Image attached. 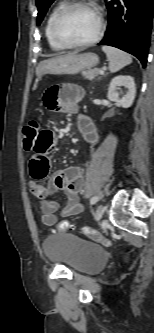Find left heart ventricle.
Wrapping results in <instances>:
<instances>
[{
  "label": "left heart ventricle",
  "instance_id": "b2bd125f",
  "mask_svg": "<svg viewBox=\"0 0 154 333\" xmlns=\"http://www.w3.org/2000/svg\"><path fill=\"white\" fill-rule=\"evenodd\" d=\"M98 27L96 12L90 7H77L70 10L60 23V33L71 42L92 38Z\"/></svg>",
  "mask_w": 154,
  "mask_h": 333
}]
</instances>
